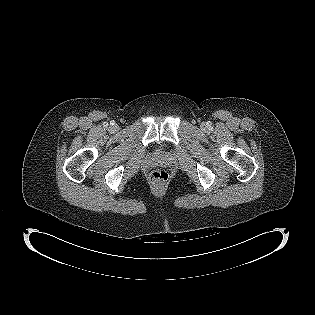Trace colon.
I'll list each match as a JSON object with an SVG mask.
<instances>
[{
	"mask_svg": "<svg viewBox=\"0 0 315 315\" xmlns=\"http://www.w3.org/2000/svg\"><path fill=\"white\" fill-rule=\"evenodd\" d=\"M169 180V173L164 169H156L150 174V181L154 185H164Z\"/></svg>",
	"mask_w": 315,
	"mask_h": 315,
	"instance_id": "colon-1",
	"label": "colon"
}]
</instances>
